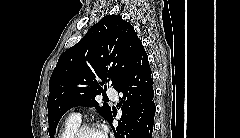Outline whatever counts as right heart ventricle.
<instances>
[{"label":"right heart ventricle","instance_id":"1","mask_svg":"<svg viewBox=\"0 0 240 138\" xmlns=\"http://www.w3.org/2000/svg\"><path fill=\"white\" fill-rule=\"evenodd\" d=\"M80 125V119L70 117L63 124L59 138H69L70 134Z\"/></svg>","mask_w":240,"mask_h":138}]
</instances>
